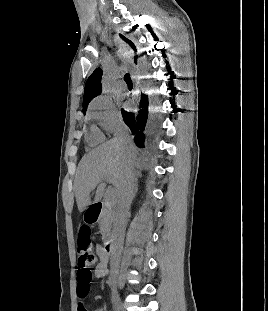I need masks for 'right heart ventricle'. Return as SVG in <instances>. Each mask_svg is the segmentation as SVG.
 <instances>
[{"label": "right heart ventricle", "instance_id": "right-heart-ventricle-1", "mask_svg": "<svg viewBox=\"0 0 268 311\" xmlns=\"http://www.w3.org/2000/svg\"><path fill=\"white\" fill-rule=\"evenodd\" d=\"M101 139H102V136L96 130H93L88 136V141L90 143H96L100 141Z\"/></svg>", "mask_w": 268, "mask_h": 311}]
</instances>
